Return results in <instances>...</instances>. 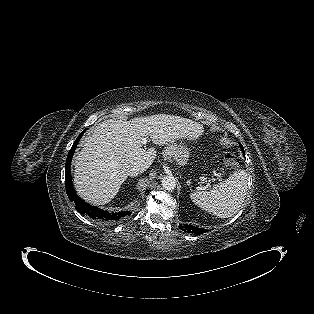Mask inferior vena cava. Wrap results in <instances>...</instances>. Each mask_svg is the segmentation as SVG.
<instances>
[{"label": "inferior vena cava", "mask_w": 314, "mask_h": 314, "mask_svg": "<svg viewBox=\"0 0 314 314\" xmlns=\"http://www.w3.org/2000/svg\"><path fill=\"white\" fill-rule=\"evenodd\" d=\"M144 168L139 164H130L127 166L126 173L128 176H137L139 173H142Z\"/></svg>", "instance_id": "1"}]
</instances>
